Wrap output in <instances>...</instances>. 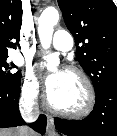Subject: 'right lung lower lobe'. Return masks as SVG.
Wrapping results in <instances>:
<instances>
[{
	"label": "right lung lower lobe",
	"instance_id": "98d812e1",
	"mask_svg": "<svg viewBox=\"0 0 117 136\" xmlns=\"http://www.w3.org/2000/svg\"><path fill=\"white\" fill-rule=\"evenodd\" d=\"M20 82L9 86H0V128L23 125L18 100ZM35 131L44 134L46 130V116L40 115L36 122L30 125Z\"/></svg>",
	"mask_w": 117,
	"mask_h": 136
}]
</instances>
